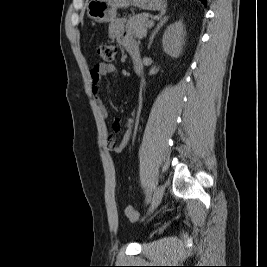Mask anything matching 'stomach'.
I'll return each instance as SVG.
<instances>
[{"mask_svg": "<svg viewBox=\"0 0 267 267\" xmlns=\"http://www.w3.org/2000/svg\"><path fill=\"white\" fill-rule=\"evenodd\" d=\"M167 0H90L87 4V15L97 23H108L115 19L118 8L130 5L143 10L159 11L166 7Z\"/></svg>", "mask_w": 267, "mask_h": 267, "instance_id": "0dacf381", "label": "stomach"}]
</instances>
